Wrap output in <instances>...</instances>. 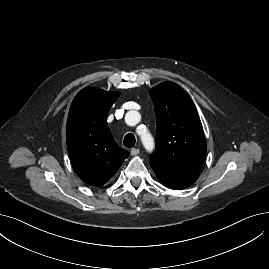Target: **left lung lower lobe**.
<instances>
[{"mask_svg": "<svg viewBox=\"0 0 269 269\" xmlns=\"http://www.w3.org/2000/svg\"><path fill=\"white\" fill-rule=\"evenodd\" d=\"M159 181L167 188L181 190L192 185L198 178V171L171 168L150 161Z\"/></svg>", "mask_w": 269, "mask_h": 269, "instance_id": "0a47b994", "label": "left lung lower lobe"}]
</instances>
